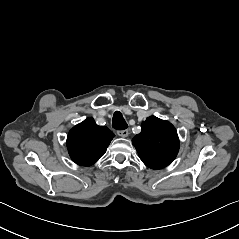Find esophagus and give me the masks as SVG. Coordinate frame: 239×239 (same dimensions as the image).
Segmentation results:
<instances>
[{
	"label": "esophagus",
	"instance_id": "34e87169",
	"mask_svg": "<svg viewBox=\"0 0 239 239\" xmlns=\"http://www.w3.org/2000/svg\"><path fill=\"white\" fill-rule=\"evenodd\" d=\"M117 134L120 136V137H127L128 134H129V131L126 129V130H119L117 131Z\"/></svg>",
	"mask_w": 239,
	"mask_h": 239
}]
</instances>
